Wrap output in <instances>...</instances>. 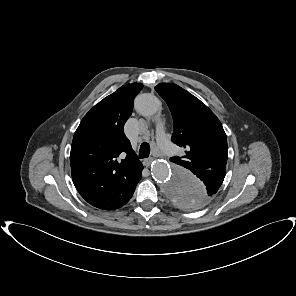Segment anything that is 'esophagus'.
Here are the masks:
<instances>
[{"instance_id": "34e87169", "label": "esophagus", "mask_w": 296, "mask_h": 296, "mask_svg": "<svg viewBox=\"0 0 296 296\" xmlns=\"http://www.w3.org/2000/svg\"><path fill=\"white\" fill-rule=\"evenodd\" d=\"M153 159L152 158H146L143 160V164L148 167L152 163Z\"/></svg>"}]
</instances>
